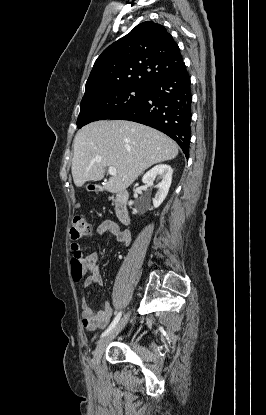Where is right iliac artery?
<instances>
[{"mask_svg": "<svg viewBox=\"0 0 266 415\" xmlns=\"http://www.w3.org/2000/svg\"><path fill=\"white\" fill-rule=\"evenodd\" d=\"M121 317V312H119L116 317L113 319L112 323L109 325V327L102 333L101 337L107 335L119 322Z\"/></svg>", "mask_w": 266, "mask_h": 415, "instance_id": "1", "label": "right iliac artery"}]
</instances>
